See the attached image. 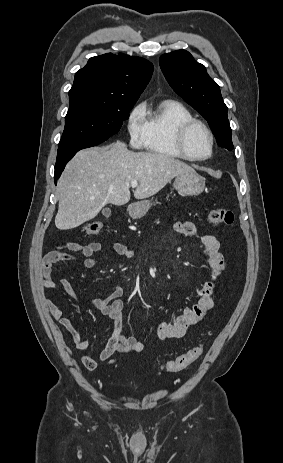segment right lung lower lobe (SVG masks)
Wrapping results in <instances>:
<instances>
[{
    "mask_svg": "<svg viewBox=\"0 0 283 463\" xmlns=\"http://www.w3.org/2000/svg\"><path fill=\"white\" fill-rule=\"evenodd\" d=\"M103 141H88V142H81L77 144H73L67 147L58 148L57 160L55 165V184L58 178L60 177L62 171L65 168V165L69 160L73 158V156L81 149L89 148L92 146H96Z\"/></svg>",
    "mask_w": 283,
    "mask_h": 463,
    "instance_id": "1",
    "label": "right lung lower lobe"
}]
</instances>
